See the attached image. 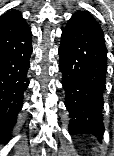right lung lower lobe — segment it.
I'll return each instance as SVG.
<instances>
[{"instance_id":"right-lung-lower-lobe-1","label":"right lung lower lobe","mask_w":114,"mask_h":156,"mask_svg":"<svg viewBox=\"0 0 114 156\" xmlns=\"http://www.w3.org/2000/svg\"><path fill=\"white\" fill-rule=\"evenodd\" d=\"M31 39L30 28L18 11L0 17V139L9 137L22 108Z\"/></svg>"}]
</instances>
